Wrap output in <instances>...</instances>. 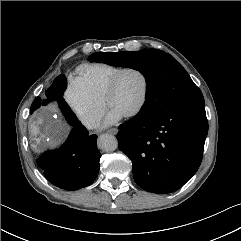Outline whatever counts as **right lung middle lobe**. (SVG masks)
Instances as JSON below:
<instances>
[{"label":"right lung middle lobe","instance_id":"right-lung-middle-lobe-1","mask_svg":"<svg viewBox=\"0 0 241 241\" xmlns=\"http://www.w3.org/2000/svg\"><path fill=\"white\" fill-rule=\"evenodd\" d=\"M67 82L66 77L61 74L59 75L51 85V87L46 91V99L42 100L40 97H36L31 105L30 113L38 109L41 105H46L51 101H56L60 107L61 112L68 122L71 120L77 121L76 115L71 111L68 104L62 98L63 93L66 89Z\"/></svg>","mask_w":241,"mask_h":241}]
</instances>
